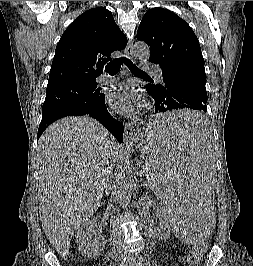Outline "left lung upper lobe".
<instances>
[{
    "instance_id": "left-lung-upper-lobe-1",
    "label": "left lung upper lobe",
    "mask_w": 253,
    "mask_h": 266,
    "mask_svg": "<svg viewBox=\"0 0 253 266\" xmlns=\"http://www.w3.org/2000/svg\"><path fill=\"white\" fill-rule=\"evenodd\" d=\"M137 39L150 46L149 61L161 68L185 66L205 74L199 41L190 26L173 12L152 8L143 16Z\"/></svg>"
}]
</instances>
